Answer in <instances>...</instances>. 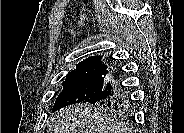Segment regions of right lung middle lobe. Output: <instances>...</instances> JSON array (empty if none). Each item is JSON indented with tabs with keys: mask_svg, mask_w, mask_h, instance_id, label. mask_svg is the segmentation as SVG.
<instances>
[{
	"mask_svg": "<svg viewBox=\"0 0 184 133\" xmlns=\"http://www.w3.org/2000/svg\"><path fill=\"white\" fill-rule=\"evenodd\" d=\"M63 90L58 95L53 111L59 110L65 106L80 102L91 103L105 86L104 75L97 74L82 78H69L63 83ZM103 113H109L113 116H123L129 110L128 104L115 105L113 103L96 104Z\"/></svg>",
	"mask_w": 184,
	"mask_h": 133,
	"instance_id": "1",
	"label": "right lung middle lobe"
}]
</instances>
